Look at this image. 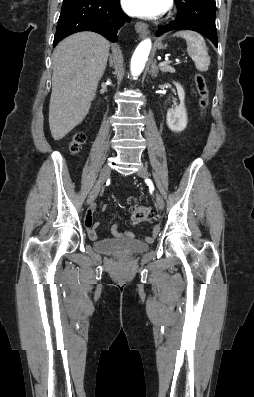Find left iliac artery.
Wrapping results in <instances>:
<instances>
[{"mask_svg": "<svg viewBox=\"0 0 254 397\" xmlns=\"http://www.w3.org/2000/svg\"><path fill=\"white\" fill-rule=\"evenodd\" d=\"M147 183H151V181L148 179V180H147Z\"/></svg>", "mask_w": 254, "mask_h": 397, "instance_id": "44dca946", "label": "left iliac artery"}]
</instances>
